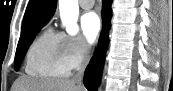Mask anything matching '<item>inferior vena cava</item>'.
Returning <instances> with one entry per match:
<instances>
[{
  "label": "inferior vena cava",
  "instance_id": "1",
  "mask_svg": "<svg viewBox=\"0 0 173 91\" xmlns=\"http://www.w3.org/2000/svg\"><path fill=\"white\" fill-rule=\"evenodd\" d=\"M88 52H89V47H88L87 43H84V45L82 47L84 62L79 66L77 75L73 79V81L76 82V83L81 84L82 77H83V74H84V70H85V67H86V63L88 61Z\"/></svg>",
  "mask_w": 173,
  "mask_h": 91
}]
</instances>
